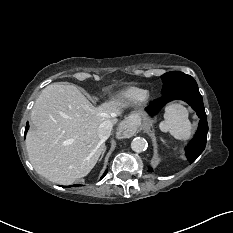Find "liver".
I'll return each instance as SVG.
<instances>
[{
    "label": "liver",
    "mask_w": 233,
    "mask_h": 233,
    "mask_svg": "<svg viewBox=\"0 0 233 233\" xmlns=\"http://www.w3.org/2000/svg\"><path fill=\"white\" fill-rule=\"evenodd\" d=\"M119 98L98 107L73 85L50 84L31 111L26 136L29 160L35 171L49 181L70 185L85 177L97 163L105 144L98 136L102 124L122 113Z\"/></svg>",
    "instance_id": "1"
}]
</instances>
